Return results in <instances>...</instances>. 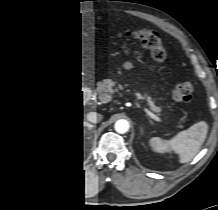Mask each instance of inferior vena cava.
I'll return each instance as SVG.
<instances>
[{"label": "inferior vena cava", "mask_w": 218, "mask_h": 210, "mask_svg": "<svg viewBox=\"0 0 218 210\" xmlns=\"http://www.w3.org/2000/svg\"><path fill=\"white\" fill-rule=\"evenodd\" d=\"M87 119L91 123H98L101 121L102 116L98 113H90L88 114Z\"/></svg>", "instance_id": "inferior-vena-cava-1"}]
</instances>
